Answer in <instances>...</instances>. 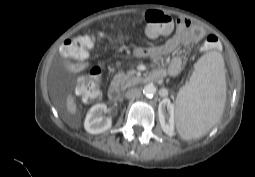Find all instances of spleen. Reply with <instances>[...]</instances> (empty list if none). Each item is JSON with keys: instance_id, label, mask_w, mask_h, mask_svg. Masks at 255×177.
I'll return each mask as SVG.
<instances>
[{"instance_id": "spleen-1", "label": "spleen", "mask_w": 255, "mask_h": 177, "mask_svg": "<svg viewBox=\"0 0 255 177\" xmlns=\"http://www.w3.org/2000/svg\"><path fill=\"white\" fill-rule=\"evenodd\" d=\"M190 81L176 99V127L185 140L205 135L221 118L226 101L224 60L209 52L194 65Z\"/></svg>"}]
</instances>
